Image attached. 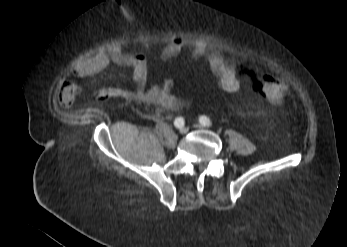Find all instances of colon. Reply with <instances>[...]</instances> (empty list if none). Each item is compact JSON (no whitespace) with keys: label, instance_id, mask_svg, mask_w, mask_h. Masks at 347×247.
Here are the masks:
<instances>
[{"label":"colon","instance_id":"1","mask_svg":"<svg viewBox=\"0 0 347 247\" xmlns=\"http://www.w3.org/2000/svg\"><path fill=\"white\" fill-rule=\"evenodd\" d=\"M257 85L258 90L262 93V99L268 104H280L286 98V87L272 70L261 71L257 76ZM116 96V94L110 92L98 94L100 99Z\"/></svg>","mask_w":347,"mask_h":247}]
</instances>
